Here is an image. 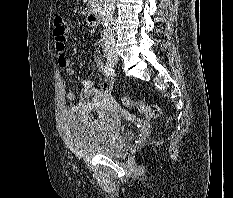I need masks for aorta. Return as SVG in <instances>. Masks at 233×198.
Instances as JSON below:
<instances>
[{"instance_id": "1", "label": "aorta", "mask_w": 233, "mask_h": 198, "mask_svg": "<svg viewBox=\"0 0 233 198\" xmlns=\"http://www.w3.org/2000/svg\"><path fill=\"white\" fill-rule=\"evenodd\" d=\"M114 1L115 0H105L104 8L102 11V24L104 25H107L112 19L115 8Z\"/></svg>"}]
</instances>
